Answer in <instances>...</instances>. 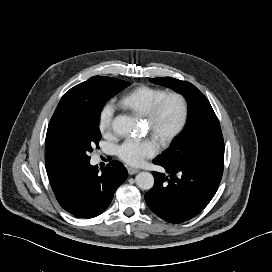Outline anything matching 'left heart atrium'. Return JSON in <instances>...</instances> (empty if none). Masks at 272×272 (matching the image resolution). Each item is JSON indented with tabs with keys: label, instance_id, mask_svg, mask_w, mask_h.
Masks as SVG:
<instances>
[{
	"label": "left heart atrium",
	"instance_id": "obj_1",
	"mask_svg": "<svg viewBox=\"0 0 272 272\" xmlns=\"http://www.w3.org/2000/svg\"><path fill=\"white\" fill-rule=\"evenodd\" d=\"M157 153V146L149 140L128 139L117 147L118 157L132 166H140Z\"/></svg>",
	"mask_w": 272,
	"mask_h": 272
}]
</instances>
